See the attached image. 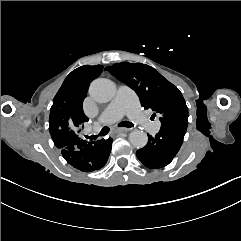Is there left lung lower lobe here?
<instances>
[{
	"label": "left lung lower lobe",
	"instance_id": "0a47b994",
	"mask_svg": "<svg viewBox=\"0 0 241 241\" xmlns=\"http://www.w3.org/2000/svg\"><path fill=\"white\" fill-rule=\"evenodd\" d=\"M188 124H164L155 137L148 135V143L136 152L137 158L148 168L168 165L178 153Z\"/></svg>",
	"mask_w": 241,
	"mask_h": 241
}]
</instances>
